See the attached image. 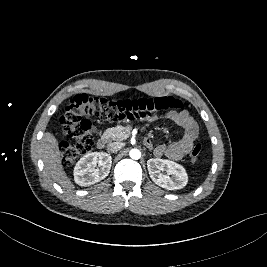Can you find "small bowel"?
<instances>
[{
	"mask_svg": "<svg viewBox=\"0 0 267 267\" xmlns=\"http://www.w3.org/2000/svg\"><path fill=\"white\" fill-rule=\"evenodd\" d=\"M169 118L182 129V136L179 140L164 144L154 145L150 138L145 143L152 148L156 156H166L174 160L182 159L191 151L198 137V125L193 117L185 110L169 114Z\"/></svg>",
	"mask_w": 267,
	"mask_h": 267,
	"instance_id": "c3829d8e",
	"label": "small bowel"
}]
</instances>
